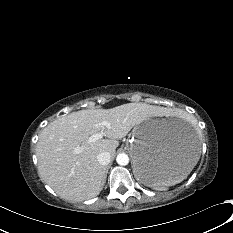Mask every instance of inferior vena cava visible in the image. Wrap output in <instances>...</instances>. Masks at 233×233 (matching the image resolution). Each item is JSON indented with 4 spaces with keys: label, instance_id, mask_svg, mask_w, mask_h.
<instances>
[{
    "label": "inferior vena cava",
    "instance_id": "inferior-vena-cava-1",
    "mask_svg": "<svg viewBox=\"0 0 233 233\" xmlns=\"http://www.w3.org/2000/svg\"><path fill=\"white\" fill-rule=\"evenodd\" d=\"M97 160L103 166L108 165L111 161V154L106 151L101 152L97 155Z\"/></svg>",
    "mask_w": 233,
    "mask_h": 233
}]
</instances>
